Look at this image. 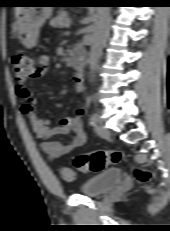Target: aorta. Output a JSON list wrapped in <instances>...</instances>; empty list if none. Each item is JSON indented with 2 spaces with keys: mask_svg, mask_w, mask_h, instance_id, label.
Returning a JSON list of instances; mask_svg holds the SVG:
<instances>
[{
  "mask_svg": "<svg viewBox=\"0 0 170 231\" xmlns=\"http://www.w3.org/2000/svg\"><path fill=\"white\" fill-rule=\"evenodd\" d=\"M109 9V7L96 8L92 33V44L88 58L91 74L94 72L101 55V45L104 37L105 23L109 14Z\"/></svg>",
  "mask_w": 170,
  "mask_h": 231,
  "instance_id": "obj_1",
  "label": "aorta"
}]
</instances>
